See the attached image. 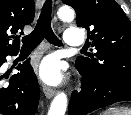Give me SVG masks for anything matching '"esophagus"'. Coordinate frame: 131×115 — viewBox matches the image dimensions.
Returning a JSON list of instances; mask_svg holds the SVG:
<instances>
[{"label":"esophagus","mask_w":131,"mask_h":115,"mask_svg":"<svg viewBox=\"0 0 131 115\" xmlns=\"http://www.w3.org/2000/svg\"><path fill=\"white\" fill-rule=\"evenodd\" d=\"M53 22L54 24L56 23V17L53 18ZM43 92L48 99L52 98L55 95V90L46 85L43 86Z\"/></svg>","instance_id":"34e87169"}]
</instances>
